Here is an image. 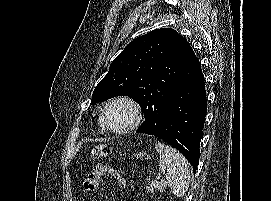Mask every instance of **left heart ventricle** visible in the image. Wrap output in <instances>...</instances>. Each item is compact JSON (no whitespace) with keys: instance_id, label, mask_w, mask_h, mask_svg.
<instances>
[{"instance_id":"b2bd125f","label":"left heart ventricle","mask_w":271,"mask_h":201,"mask_svg":"<svg viewBox=\"0 0 271 201\" xmlns=\"http://www.w3.org/2000/svg\"><path fill=\"white\" fill-rule=\"evenodd\" d=\"M108 124L116 129L129 125L133 120V112L125 103L111 105L106 112Z\"/></svg>"}]
</instances>
